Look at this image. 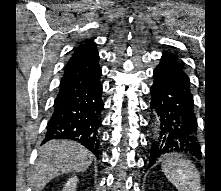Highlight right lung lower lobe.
I'll return each instance as SVG.
<instances>
[{
	"label": "right lung lower lobe",
	"instance_id": "obj_1",
	"mask_svg": "<svg viewBox=\"0 0 221 191\" xmlns=\"http://www.w3.org/2000/svg\"><path fill=\"white\" fill-rule=\"evenodd\" d=\"M98 60L97 52L68 62L44 143L52 139H71L98 156L99 128L104 108Z\"/></svg>",
	"mask_w": 221,
	"mask_h": 191
}]
</instances>
